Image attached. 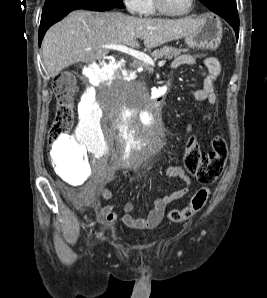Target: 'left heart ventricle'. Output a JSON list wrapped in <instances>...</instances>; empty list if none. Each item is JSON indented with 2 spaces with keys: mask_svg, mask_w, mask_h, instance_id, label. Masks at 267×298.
Listing matches in <instances>:
<instances>
[{
  "mask_svg": "<svg viewBox=\"0 0 267 298\" xmlns=\"http://www.w3.org/2000/svg\"><path fill=\"white\" fill-rule=\"evenodd\" d=\"M165 6L174 13H182L186 11L191 3V0H163Z\"/></svg>",
  "mask_w": 267,
  "mask_h": 298,
  "instance_id": "1",
  "label": "left heart ventricle"
}]
</instances>
